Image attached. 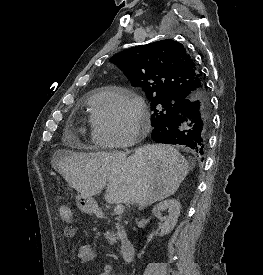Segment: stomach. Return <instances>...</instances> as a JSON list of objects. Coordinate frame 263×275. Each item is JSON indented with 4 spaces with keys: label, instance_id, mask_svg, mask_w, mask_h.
<instances>
[{
    "label": "stomach",
    "instance_id": "obj_1",
    "mask_svg": "<svg viewBox=\"0 0 263 275\" xmlns=\"http://www.w3.org/2000/svg\"><path fill=\"white\" fill-rule=\"evenodd\" d=\"M77 207L84 213L88 214H96L99 215V209L97 203L92 197L84 196L83 194H79L76 197Z\"/></svg>",
    "mask_w": 263,
    "mask_h": 275
}]
</instances>
